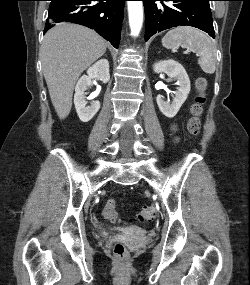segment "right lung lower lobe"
<instances>
[{
	"mask_svg": "<svg viewBox=\"0 0 250 285\" xmlns=\"http://www.w3.org/2000/svg\"><path fill=\"white\" fill-rule=\"evenodd\" d=\"M125 1L51 0L44 33L58 22L77 23L94 29L118 48Z\"/></svg>",
	"mask_w": 250,
	"mask_h": 285,
	"instance_id": "right-lung-lower-lobe-1",
	"label": "right lung lower lobe"
}]
</instances>
